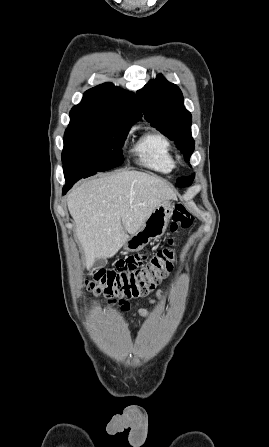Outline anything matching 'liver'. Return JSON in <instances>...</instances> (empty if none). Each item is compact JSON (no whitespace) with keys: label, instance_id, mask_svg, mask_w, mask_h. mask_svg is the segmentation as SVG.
I'll return each instance as SVG.
<instances>
[{"label":"liver","instance_id":"1","mask_svg":"<svg viewBox=\"0 0 269 447\" xmlns=\"http://www.w3.org/2000/svg\"><path fill=\"white\" fill-rule=\"evenodd\" d=\"M165 200H177L166 180L134 170H116L75 186L67 196V206L87 269L97 259L115 255L128 233H136Z\"/></svg>","mask_w":269,"mask_h":447}]
</instances>
